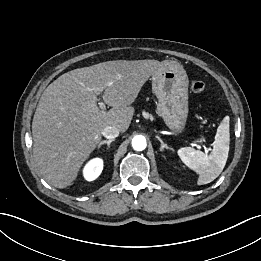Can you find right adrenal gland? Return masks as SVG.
Listing matches in <instances>:
<instances>
[{
    "label": "right adrenal gland",
    "instance_id": "right-adrenal-gland-1",
    "mask_svg": "<svg viewBox=\"0 0 261 261\" xmlns=\"http://www.w3.org/2000/svg\"><path fill=\"white\" fill-rule=\"evenodd\" d=\"M114 140H104V141H101L98 146H97V150H100V148L103 146V145H107V148L109 149L110 148V144L113 142Z\"/></svg>",
    "mask_w": 261,
    "mask_h": 261
}]
</instances>
